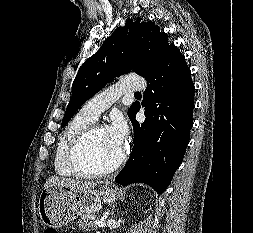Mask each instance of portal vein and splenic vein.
Returning <instances> with one entry per match:
<instances>
[{"label":"portal vein and splenic vein","mask_w":253,"mask_h":233,"mask_svg":"<svg viewBox=\"0 0 253 233\" xmlns=\"http://www.w3.org/2000/svg\"><path fill=\"white\" fill-rule=\"evenodd\" d=\"M95 224L99 227H105L106 223L104 220H95Z\"/></svg>","instance_id":"1"}]
</instances>
